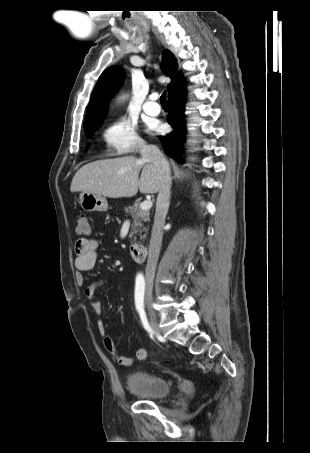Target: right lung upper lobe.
Segmentation results:
<instances>
[{
	"instance_id": "cb5924a9",
	"label": "right lung upper lobe",
	"mask_w": 310,
	"mask_h": 453,
	"mask_svg": "<svg viewBox=\"0 0 310 453\" xmlns=\"http://www.w3.org/2000/svg\"><path fill=\"white\" fill-rule=\"evenodd\" d=\"M177 67L174 56L169 51H165L162 71L171 78V83L168 85V92L182 78L177 71ZM123 77V69L119 66H111L101 74L90 99L84 128L99 125L104 119L107 102L119 88Z\"/></svg>"
}]
</instances>
